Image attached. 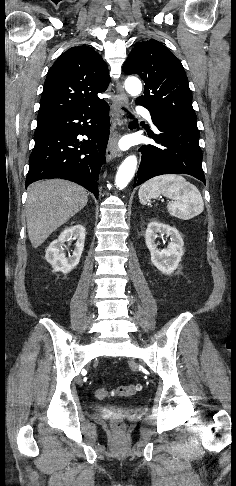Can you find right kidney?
Returning <instances> with one entry per match:
<instances>
[{
  "label": "right kidney",
  "mask_w": 236,
  "mask_h": 486,
  "mask_svg": "<svg viewBox=\"0 0 236 486\" xmlns=\"http://www.w3.org/2000/svg\"><path fill=\"white\" fill-rule=\"evenodd\" d=\"M76 240L72 255L66 256L65 242ZM85 228L78 224L64 229L58 239L51 242L46 250L45 259L55 272L64 274L72 271L78 264L84 250Z\"/></svg>",
  "instance_id": "1"
}]
</instances>
